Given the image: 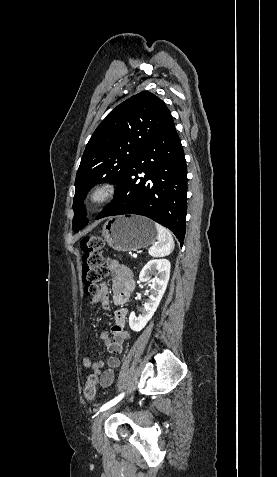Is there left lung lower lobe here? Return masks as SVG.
Instances as JSON below:
<instances>
[{
  "instance_id": "1",
  "label": "left lung lower lobe",
  "mask_w": 277,
  "mask_h": 477,
  "mask_svg": "<svg viewBox=\"0 0 277 477\" xmlns=\"http://www.w3.org/2000/svg\"><path fill=\"white\" fill-rule=\"evenodd\" d=\"M186 192V160L172 119L136 156L119 186L117 200L101 211L96 220L122 214L143 215L169 228L182 246Z\"/></svg>"
}]
</instances>
